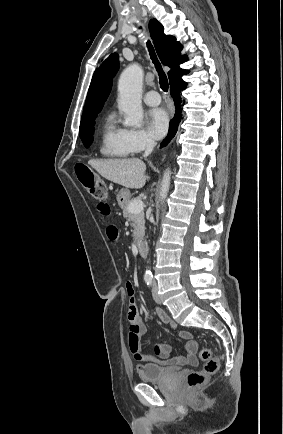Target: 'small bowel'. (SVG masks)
I'll use <instances>...</instances> for the list:
<instances>
[{"mask_svg": "<svg viewBox=\"0 0 283 434\" xmlns=\"http://www.w3.org/2000/svg\"><path fill=\"white\" fill-rule=\"evenodd\" d=\"M97 210L102 216H109L111 213L110 205L106 201H101L97 205ZM107 238L111 242L118 240V230L115 226H109L106 230ZM127 294L129 296L128 306V323H129V348L133 358L138 362L154 363L162 366H182V365H196L198 363L196 357L197 343L193 339L191 332L186 330H178L177 324L170 319L165 311L162 309H155L156 316L165 324L169 325L172 329L176 330L178 336L185 342L184 356L169 357L170 346L168 344H159L155 347V354H146L141 349V340L146 335V327L142 323L141 317L138 312L135 291L133 285L128 282L126 285ZM143 365L138 366V370Z\"/></svg>", "mask_w": 283, "mask_h": 434, "instance_id": "1", "label": "small bowel"}]
</instances>
